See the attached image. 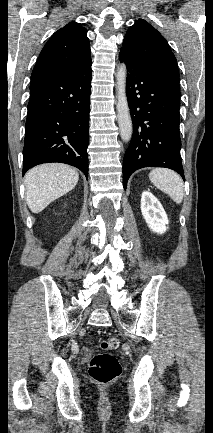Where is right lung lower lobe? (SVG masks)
<instances>
[{
	"label": "right lung lower lobe",
	"instance_id": "obj_1",
	"mask_svg": "<svg viewBox=\"0 0 213 433\" xmlns=\"http://www.w3.org/2000/svg\"><path fill=\"white\" fill-rule=\"evenodd\" d=\"M91 73L90 62L70 74L32 77L23 174L41 163L61 162L88 178Z\"/></svg>",
	"mask_w": 213,
	"mask_h": 433
}]
</instances>
